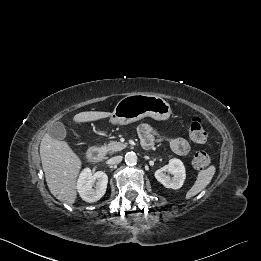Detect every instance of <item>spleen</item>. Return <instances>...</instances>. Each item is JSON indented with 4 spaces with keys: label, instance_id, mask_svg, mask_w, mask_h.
<instances>
[{
    "label": "spleen",
    "instance_id": "3e777b00",
    "mask_svg": "<svg viewBox=\"0 0 261 261\" xmlns=\"http://www.w3.org/2000/svg\"><path fill=\"white\" fill-rule=\"evenodd\" d=\"M216 172V168L214 166H210L205 170H201L198 175L194 185L186 194V199H190L200 193L212 180L214 174Z\"/></svg>",
    "mask_w": 261,
    "mask_h": 261
}]
</instances>
